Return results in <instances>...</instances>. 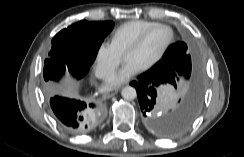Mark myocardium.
<instances>
[{"instance_id":"f54148a6","label":"myocardium","mask_w":244,"mask_h":157,"mask_svg":"<svg viewBox=\"0 0 244 157\" xmlns=\"http://www.w3.org/2000/svg\"><path fill=\"white\" fill-rule=\"evenodd\" d=\"M158 28H164L167 29L169 31V39L167 41V43L165 44V46L163 47V49L161 50V52L157 55L156 58H154L151 62H149L148 64H146L145 66H143L140 70L141 71H148L150 69H152L153 67H155L159 62L162 61V59L165 57V55L167 54L168 50L170 49L171 45L174 42L175 39V33L174 30L171 26L166 25V24H155L149 28H147L146 30H144L143 32H141L138 37L125 49L124 53H123V57L125 58L126 54H128L131 51L136 50L137 48H139L142 43L144 42V40L146 39V37L155 29Z\"/></svg>"}]
</instances>
